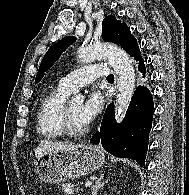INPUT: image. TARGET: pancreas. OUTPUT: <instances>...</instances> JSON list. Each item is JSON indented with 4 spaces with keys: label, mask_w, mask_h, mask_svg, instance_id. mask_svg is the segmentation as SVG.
<instances>
[{
    "label": "pancreas",
    "mask_w": 189,
    "mask_h": 195,
    "mask_svg": "<svg viewBox=\"0 0 189 195\" xmlns=\"http://www.w3.org/2000/svg\"><path fill=\"white\" fill-rule=\"evenodd\" d=\"M79 186L80 184L64 183L59 186V190L65 191L67 194H73L74 192H78Z\"/></svg>",
    "instance_id": "obj_1"
}]
</instances>
